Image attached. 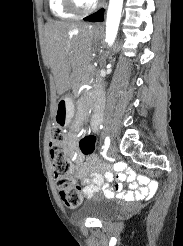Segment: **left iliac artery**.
<instances>
[{"instance_id": "obj_1", "label": "left iliac artery", "mask_w": 183, "mask_h": 246, "mask_svg": "<svg viewBox=\"0 0 183 246\" xmlns=\"http://www.w3.org/2000/svg\"><path fill=\"white\" fill-rule=\"evenodd\" d=\"M109 145H110V138L107 136L105 138V141H104V145L102 146V152H101V155H105L108 148H109Z\"/></svg>"}]
</instances>
